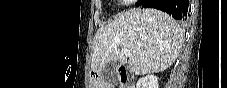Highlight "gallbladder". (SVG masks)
<instances>
[{"label": "gallbladder", "instance_id": "obj_1", "mask_svg": "<svg viewBox=\"0 0 227 88\" xmlns=\"http://www.w3.org/2000/svg\"><path fill=\"white\" fill-rule=\"evenodd\" d=\"M119 66L118 61H111L106 64L102 69V76L104 81L110 85H116L117 79V68Z\"/></svg>", "mask_w": 227, "mask_h": 88}]
</instances>
